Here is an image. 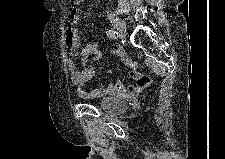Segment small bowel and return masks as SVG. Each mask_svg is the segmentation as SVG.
Returning <instances> with one entry per match:
<instances>
[{"label":"small bowel","mask_w":225,"mask_h":159,"mask_svg":"<svg viewBox=\"0 0 225 159\" xmlns=\"http://www.w3.org/2000/svg\"><path fill=\"white\" fill-rule=\"evenodd\" d=\"M81 17V9L79 3H76L70 11V26L65 32V43L70 50L69 53V70L71 79L74 85L78 87L77 93L81 97L89 96H101L105 94H121L123 92L127 94H135L146 88L149 84V79L146 77H138L137 82L134 85L123 88L120 84L109 85L106 87H100L95 89L92 93H87L83 89V85L89 82L96 74V68L94 64L87 65L90 61L97 62L100 59L101 53L99 45L96 42H88L82 50L80 47V37L78 31V24ZM113 52L120 56L126 64L128 62L124 56V50L119 45H113ZM80 58V63L77 64L74 59Z\"/></svg>","instance_id":"obj_1"}]
</instances>
